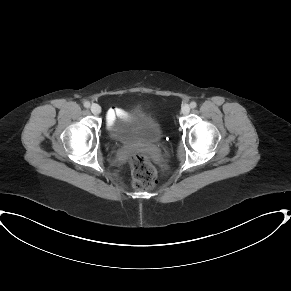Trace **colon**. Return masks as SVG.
Here are the masks:
<instances>
[{"instance_id": "1", "label": "colon", "mask_w": 291, "mask_h": 291, "mask_svg": "<svg viewBox=\"0 0 291 291\" xmlns=\"http://www.w3.org/2000/svg\"><path fill=\"white\" fill-rule=\"evenodd\" d=\"M129 162L135 189L143 190L155 185L156 172L144 154H132Z\"/></svg>"}]
</instances>
